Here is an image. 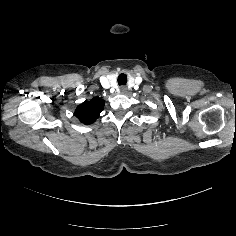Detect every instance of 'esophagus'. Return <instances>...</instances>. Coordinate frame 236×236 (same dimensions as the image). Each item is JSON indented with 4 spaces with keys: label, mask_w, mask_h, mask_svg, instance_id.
Segmentation results:
<instances>
[{
    "label": "esophagus",
    "mask_w": 236,
    "mask_h": 236,
    "mask_svg": "<svg viewBox=\"0 0 236 236\" xmlns=\"http://www.w3.org/2000/svg\"><path fill=\"white\" fill-rule=\"evenodd\" d=\"M121 93H126L127 92V87L125 85H122L119 87Z\"/></svg>",
    "instance_id": "esophagus-1"
}]
</instances>
